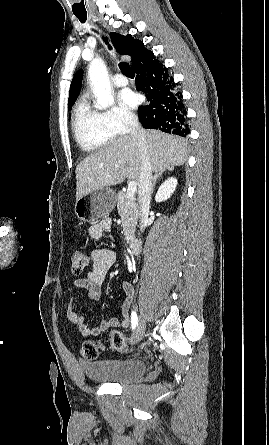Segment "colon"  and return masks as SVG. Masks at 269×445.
<instances>
[{
    "label": "colon",
    "instance_id": "colon-1",
    "mask_svg": "<svg viewBox=\"0 0 269 445\" xmlns=\"http://www.w3.org/2000/svg\"><path fill=\"white\" fill-rule=\"evenodd\" d=\"M72 271L75 274H81L88 264L87 256L80 250H75L70 256ZM110 341L112 347L120 352L127 351L126 340L124 336L114 331L111 333ZM104 345L101 341H85L81 345V354L85 359L95 360L98 358L100 352L103 350Z\"/></svg>",
    "mask_w": 269,
    "mask_h": 445
}]
</instances>
